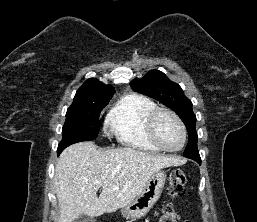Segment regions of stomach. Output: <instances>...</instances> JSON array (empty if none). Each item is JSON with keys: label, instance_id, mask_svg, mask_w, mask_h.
Instances as JSON below:
<instances>
[{"label": "stomach", "instance_id": "1", "mask_svg": "<svg viewBox=\"0 0 257 222\" xmlns=\"http://www.w3.org/2000/svg\"><path fill=\"white\" fill-rule=\"evenodd\" d=\"M166 180V172H155L146 183L143 191L129 204L121 208L126 219H139L145 216L159 199Z\"/></svg>", "mask_w": 257, "mask_h": 222}]
</instances>
